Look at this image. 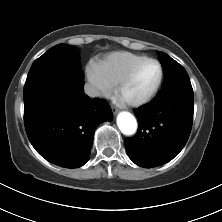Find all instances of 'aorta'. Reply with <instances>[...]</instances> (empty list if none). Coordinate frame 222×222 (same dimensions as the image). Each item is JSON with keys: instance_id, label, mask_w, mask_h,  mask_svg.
<instances>
[{"instance_id": "obj_1", "label": "aorta", "mask_w": 222, "mask_h": 222, "mask_svg": "<svg viewBox=\"0 0 222 222\" xmlns=\"http://www.w3.org/2000/svg\"><path fill=\"white\" fill-rule=\"evenodd\" d=\"M117 125L124 135H133L137 131V121L129 112H120L117 116Z\"/></svg>"}]
</instances>
